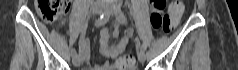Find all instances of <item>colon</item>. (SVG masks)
Returning <instances> with one entry per match:
<instances>
[{"label": "colon", "instance_id": "1", "mask_svg": "<svg viewBox=\"0 0 238 70\" xmlns=\"http://www.w3.org/2000/svg\"><path fill=\"white\" fill-rule=\"evenodd\" d=\"M151 24L155 29H162L164 32L173 31L178 23L183 11V3L181 1H172L166 14L161 15L159 11L166 6L165 0L151 1ZM36 9L39 15L49 22H53L61 17L68 10V1L66 0H36ZM132 38V33H123L121 43L128 44ZM135 60L132 56L119 54V58L115 61L114 68L117 70H134Z\"/></svg>", "mask_w": 238, "mask_h": 70}]
</instances>
